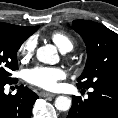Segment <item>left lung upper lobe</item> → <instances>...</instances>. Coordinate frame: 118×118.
<instances>
[{
    "label": "left lung upper lobe",
    "mask_w": 118,
    "mask_h": 118,
    "mask_svg": "<svg viewBox=\"0 0 118 118\" xmlns=\"http://www.w3.org/2000/svg\"><path fill=\"white\" fill-rule=\"evenodd\" d=\"M72 27L82 36L88 55L77 87L118 86V34L89 20H74Z\"/></svg>",
    "instance_id": "obj_1"
}]
</instances>
